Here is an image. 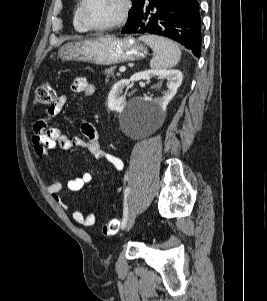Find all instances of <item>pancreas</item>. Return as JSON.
<instances>
[{"label": "pancreas", "instance_id": "pancreas-1", "mask_svg": "<svg viewBox=\"0 0 267 301\" xmlns=\"http://www.w3.org/2000/svg\"><path fill=\"white\" fill-rule=\"evenodd\" d=\"M114 70H115V67H110V68L105 69L104 74L106 76V81L109 80L110 76L114 75Z\"/></svg>", "mask_w": 267, "mask_h": 301}]
</instances>
